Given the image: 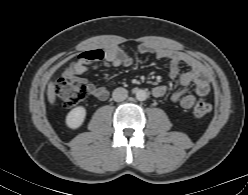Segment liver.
<instances>
[{
	"label": "liver",
	"mask_w": 248,
	"mask_h": 195,
	"mask_svg": "<svg viewBox=\"0 0 248 195\" xmlns=\"http://www.w3.org/2000/svg\"><path fill=\"white\" fill-rule=\"evenodd\" d=\"M47 98L50 104H54L56 100L55 86L53 82H49L47 89Z\"/></svg>",
	"instance_id": "1"
}]
</instances>
